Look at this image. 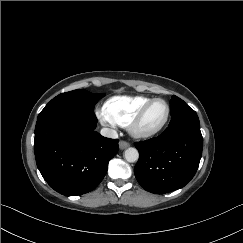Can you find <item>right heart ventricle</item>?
<instances>
[{"label": "right heart ventricle", "mask_w": 243, "mask_h": 243, "mask_svg": "<svg viewBox=\"0 0 243 243\" xmlns=\"http://www.w3.org/2000/svg\"><path fill=\"white\" fill-rule=\"evenodd\" d=\"M152 98L147 96H114L104 104V113L113 123L127 127L138 111Z\"/></svg>", "instance_id": "e07e8e85"}]
</instances>
